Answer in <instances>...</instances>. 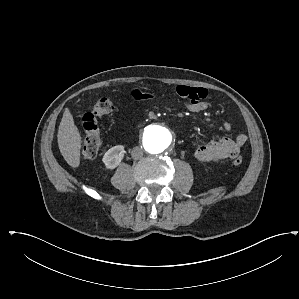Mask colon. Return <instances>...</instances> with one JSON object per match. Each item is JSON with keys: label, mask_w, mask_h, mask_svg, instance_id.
<instances>
[{"label": "colon", "mask_w": 299, "mask_h": 299, "mask_svg": "<svg viewBox=\"0 0 299 299\" xmlns=\"http://www.w3.org/2000/svg\"><path fill=\"white\" fill-rule=\"evenodd\" d=\"M114 103L108 97L97 100L90 112L82 116V126L84 130V140L82 146V158L86 161L95 159L102 146V138L97 118L110 114L114 111ZM233 164L239 166L243 162L240 155H236L232 160Z\"/></svg>", "instance_id": "5ec220e1"}]
</instances>
